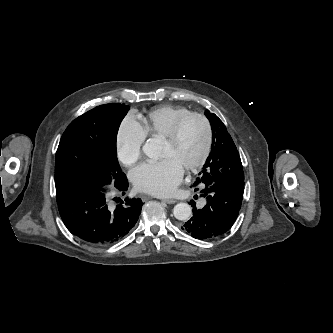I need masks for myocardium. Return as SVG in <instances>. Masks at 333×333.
<instances>
[{
	"mask_svg": "<svg viewBox=\"0 0 333 333\" xmlns=\"http://www.w3.org/2000/svg\"><path fill=\"white\" fill-rule=\"evenodd\" d=\"M191 119H198L203 123V125L205 127L206 136H205L204 149H203L199 159L196 162L185 167V170L187 172H193V171L201 168L206 163V161L211 153V149L213 146V128H212V124H211L210 120L202 113L190 112V113L182 116L181 118H179L172 125L171 129L169 130L167 135L164 137L166 142H168L170 144H174L178 140L180 132H181L184 124Z\"/></svg>",
	"mask_w": 333,
	"mask_h": 333,
	"instance_id": "myocardium-1",
	"label": "myocardium"
}]
</instances>
